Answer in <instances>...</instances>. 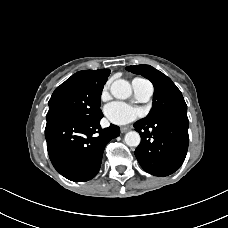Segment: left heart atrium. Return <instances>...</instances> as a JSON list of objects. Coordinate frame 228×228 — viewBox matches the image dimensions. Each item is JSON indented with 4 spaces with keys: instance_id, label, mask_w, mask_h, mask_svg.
Returning <instances> with one entry per match:
<instances>
[{
    "instance_id": "left-heart-atrium-1",
    "label": "left heart atrium",
    "mask_w": 228,
    "mask_h": 228,
    "mask_svg": "<svg viewBox=\"0 0 228 228\" xmlns=\"http://www.w3.org/2000/svg\"><path fill=\"white\" fill-rule=\"evenodd\" d=\"M104 113L110 122L118 125L128 124L142 115V111L139 108L119 101L106 105Z\"/></svg>"
}]
</instances>
